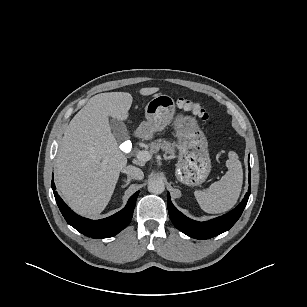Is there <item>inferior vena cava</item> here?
Returning a JSON list of instances; mask_svg holds the SVG:
<instances>
[{"instance_id":"inferior-vena-cava-1","label":"inferior vena cava","mask_w":307,"mask_h":307,"mask_svg":"<svg viewBox=\"0 0 307 307\" xmlns=\"http://www.w3.org/2000/svg\"><path fill=\"white\" fill-rule=\"evenodd\" d=\"M122 172L132 177L133 179L142 180L144 178L143 171L140 168L132 165L124 167Z\"/></svg>"}]
</instances>
